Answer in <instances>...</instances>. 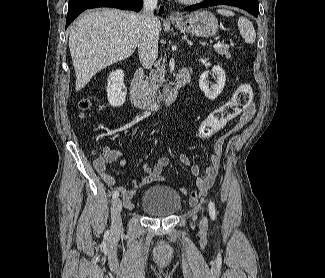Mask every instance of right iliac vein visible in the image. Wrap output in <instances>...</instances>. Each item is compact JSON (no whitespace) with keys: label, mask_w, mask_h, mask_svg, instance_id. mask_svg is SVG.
<instances>
[{"label":"right iliac vein","mask_w":325,"mask_h":278,"mask_svg":"<svg viewBox=\"0 0 325 278\" xmlns=\"http://www.w3.org/2000/svg\"><path fill=\"white\" fill-rule=\"evenodd\" d=\"M122 201L115 199L111 208V219H112V231L114 234H118L122 231Z\"/></svg>","instance_id":"obj_1"}]
</instances>
